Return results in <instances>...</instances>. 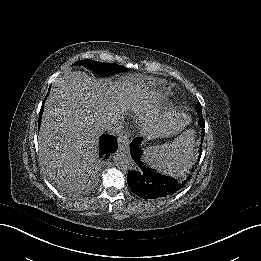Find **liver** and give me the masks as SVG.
I'll list each match as a JSON object with an SVG mask.
<instances>
[{"label":"liver","instance_id":"1","mask_svg":"<svg viewBox=\"0 0 261 261\" xmlns=\"http://www.w3.org/2000/svg\"><path fill=\"white\" fill-rule=\"evenodd\" d=\"M135 91L73 71L54 83L45 101L40 126L39 157L42 167L58 185L65 174L88 171L98 150L104 125L121 119L131 109L141 112ZM59 186V185H58Z\"/></svg>","mask_w":261,"mask_h":261}]
</instances>
